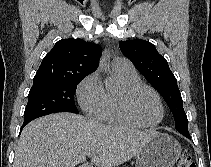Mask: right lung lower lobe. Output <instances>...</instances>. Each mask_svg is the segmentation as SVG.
<instances>
[{"label":"right lung lower lobe","mask_w":211,"mask_h":167,"mask_svg":"<svg viewBox=\"0 0 211 167\" xmlns=\"http://www.w3.org/2000/svg\"><path fill=\"white\" fill-rule=\"evenodd\" d=\"M28 123H29V122H24V123H23V125H22V127H21V129H20V133H21L23 127H24L25 125H27Z\"/></svg>","instance_id":"98d812e1"}]
</instances>
